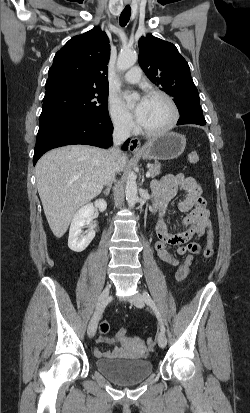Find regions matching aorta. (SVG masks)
I'll use <instances>...</instances> for the list:
<instances>
[{"instance_id": "aorta-1", "label": "aorta", "mask_w": 250, "mask_h": 413, "mask_svg": "<svg viewBox=\"0 0 250 413\" xmlns=\"http://www.w3.org/2000/svg\"><path fill=\"white\" fill-rule=\"evenodd\" d=\"M137 61V53L135 51H122L117 60V69L119 71H125L132 67ZM126 200L128 206L133 208L138 200L137 195V184L135 175L133 173H129L127 181H126Z\"/></svg>"}]
</instances>
